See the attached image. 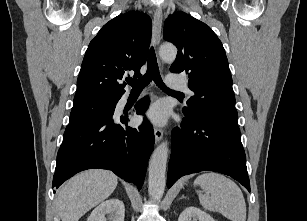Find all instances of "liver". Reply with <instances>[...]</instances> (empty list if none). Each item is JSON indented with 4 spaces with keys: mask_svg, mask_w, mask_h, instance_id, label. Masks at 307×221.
<instances>
[{
    "mask_svg": "<svg viewBox=\"0 0 307 221\" xmlns=\"http://www.w3.org/2000/svg\"><path fill=\"white\" fill-rule=\"evenodd\" d=\"M117 183V176L107 170H87L75 175L58 191L57 208L61 220L78 221L107 199Z\"/></svg>",
    "mask_w": 307,
    "mask_h": 221,
    "instance_id": "1",
    "label": "liver"
}]
</instances>
